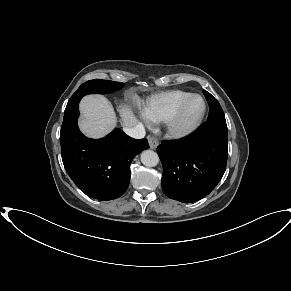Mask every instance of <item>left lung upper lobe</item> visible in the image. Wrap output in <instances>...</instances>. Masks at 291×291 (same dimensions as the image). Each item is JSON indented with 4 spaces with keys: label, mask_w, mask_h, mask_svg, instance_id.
Returning <instances> with one entry per match:
<instances>
[{
    "label": "left lung upper lobe",
    "mask_w": 291,
    "mask_h": 291,
    "mask_svg": "<svg viewBox=\"0 0 291 291\" xmlns=\"http://www.w3.org/2000/svg\"><path fill=\"white\" fill-rule=\"evenodd\" d=\"M203 93L210 108L207 121L225 120V115L219 102L209 92L203 90Z\"/></svg>",
    "instance_id": "obj_1"
}]
</instances>
